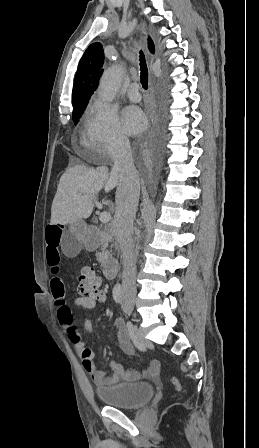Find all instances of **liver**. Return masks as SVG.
I'll list each match as a JSON object with an SVG mask.
<instances>
[{
    "label": "liver",
    "instance_id": "obj_1",
    "mask_svg": "<svg viewBox=\"0 0 259 448\" xmlns=\"http://www.w3.org/2000/svg\"><path fill=\"white\" fill-rule=\"evenodd\" d=\"M118 184V176L115 178V174L109 172L105 166L68 168L60 178L52 202L51 224L66 226V224L79 222L82 218L86 220L93 212L95 194H98L100 190H104L107 194ZM103 204L110 206V210H114L111 200H103Z\"/></svg>",
    "mask_w": 259,
    "mask_h": 448
}]
</instances>
